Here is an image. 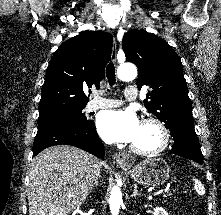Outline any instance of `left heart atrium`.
Returning a JSON list of instances; mask_svg holds the SVG:
<instances>
[{
  "mask_svg": "<svg viewBox=\"0 0 221 215\" xmlns=\"http://www.w3.org/2000/svg\"><path fill=\"white\" fill-rule=\"evenodd\" d=\"M141 123L131 110L102 112L97 120V128L107 142L133 143L138 136Z\"/></svg>",
  "mask_w": 221,
  "mask_h": 215,
  "instance_id": "left-heart-atrium-1",
  "label": "left heart atrium"
}]
</instances>
